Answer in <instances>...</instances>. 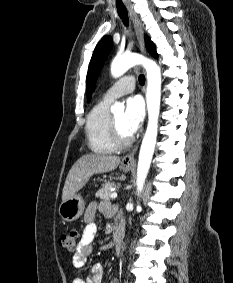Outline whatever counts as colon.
<instances>
[{"label":"colon","instance_id":"1","mask_svg":"<svg viewBox=\"0 0 233 283\" xmlns=\"http://www.w3.org/2000/svg\"><path fill=\"white\" fill-rule=\"evenodd\" d=\"M79 233L76 229L69 230L62 234L59 238V244L68 250H73L76 247Z\"/></svg>","mask_w":233,"mask_h":283}]
</instances>
